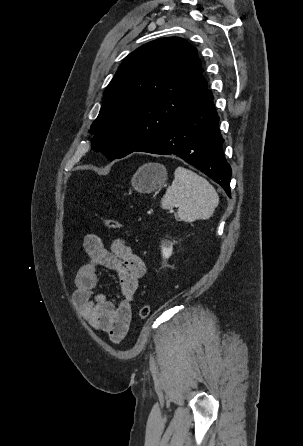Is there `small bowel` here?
<instances>
[{"instance_id":"small-bowel-1","label":"small bowel","mask_w":303,"mask_h":446,"mask_svg":"<svg viewBox=\"0 0 303 446\" xmlns=\"http://www.w3.org/2000/svg\"><path fill=\"white\" fill-rule=\"evenodd\" d=\"M82 246L88 260L76 273L73 302L93 329L107 333L113 342L118 343L128 333L134 294L146 272L145 263L122 239L114 240L107 249L97 234L89 233L85 235ZM100 267L117 273L120 286L118 303L109 300L105 294L95 292Z\"/></svg>"}]
</instances>
